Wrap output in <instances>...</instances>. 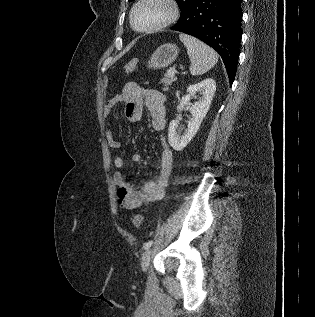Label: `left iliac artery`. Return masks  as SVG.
I'll use <instances>...</instances> for the list:
<instances>
[{"label": "left iliac artery", "instance_id": "obj_1", "mask_svg": "<svg viewBox=\"0 0 315 317\" xmlns=\"http://www.w3.org/2000/svg\"><path fill=\"white\" fill-rule=\"evenodd\" d=\"M152 244H153V240L148 241L147 243H145L144 249L147 250L148 248L151 247Z\"/></svg>", "mask_w": 315, "mask_h": 317}]
</instances>
